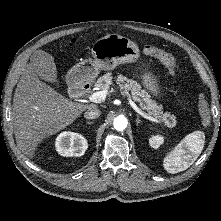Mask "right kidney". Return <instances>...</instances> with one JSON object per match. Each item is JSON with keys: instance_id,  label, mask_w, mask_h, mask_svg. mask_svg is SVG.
<instances>
[{"instance_id": "1", "label": "right kidney", "mask_w": 221, "mask_h": 221, "mask_svg": "<svg viewBox=\"0 0 221 221\" xmlns=\"http://www.w3.org/2000/svg\"><path fill=\"white\" fill-rule=\"evenodd\" d=\"M57 152L65 157L82 156L88 148L87 140L79 133L63 132L55 142Z\"/></svg>"}]
</instances>
